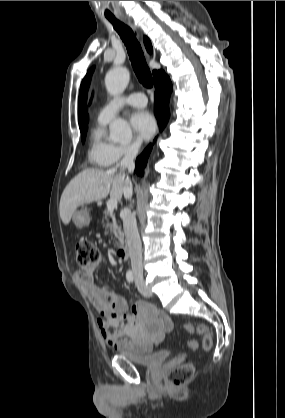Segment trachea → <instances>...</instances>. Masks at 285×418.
<instances>
[{
  "label": "trachea",
  "mask_w": 285,
  "mask_h": 418,
  "mask_svg": "<svg viewBox=\"0 0 285 418\" xmlns=\"http://www.w3.org/2000/svg\"><path fill=\"white\" fill-rule=\"evenodd\" d=\"M107 19L113 24L114 29L123 40L138 80L143 86L151 88L153 86L152 75L146 63L140 43L136 39L133 31L115 17H107Z\"/></svg>",
  "instance_id": "3493384b"
}]
</instances>
